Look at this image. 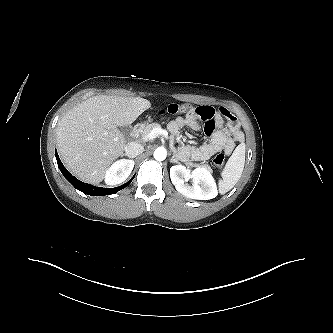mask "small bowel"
<instances>
[{"mask_svg": "<svg viewBox=\"0 0 333 333\" xmlns=\"http://www.w3.org/2000/svg\"><path fill=\"white\" fill-rule=\"evenodd\" d=\"M204 122V132L210 141L199 146L184 145L179 131L188 126L199 129ZM169 130L175 135V147L183 158L191 157L196 161H205L219 151L231 154L236 143L244 140L237 119L229 110L220 107L199 106L189 110L184 117H177L168 123Z\"/></svg>", "mask_w": 333, "mask_h": 333, "instance_id": "c3829d8e", "label": "small bowel"}]
</instances>
